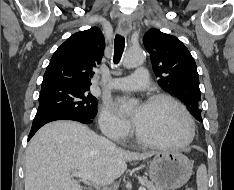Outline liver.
<instances>
[{"mask_svg": "<svg viewBox=\"0 0 234 190\" xmlns=\"http://www.w3.org/2000/svg\"><path fill=\"white\" fill-rule=\"evenodd\" d=\"M153 153H134L116 147L87 126L55 121L43 126L26 150L25 190H82L72 172L87 171L108 185L127 169V161Z\"/></svg>", "mask_w": 234, "mask_h": 190, "instance_id": "liver-1", "label": "liver"}]
</instances>
